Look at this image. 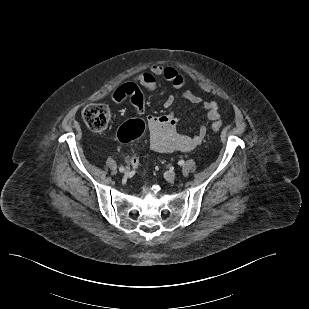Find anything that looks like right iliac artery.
<instances>
[{"mask_svg": "<svg viewBox=\"0 0 309 309\" xmlns=\"http://www.w3.org/2000/svg\"><path fill=\"white\" fill-rule=\"evenodd\" d=\"M124 170H125V169H124L123 166H120V167H119V171H120V172H124Z\"/></svg>", "mask_w": 309, "mask_h": 309, "instance_id": "1", "label": "right iliac artery"}]
</instances>
